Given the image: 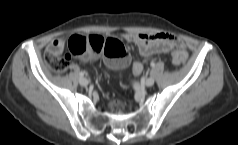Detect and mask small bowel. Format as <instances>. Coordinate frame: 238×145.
Returning a JSON list of instances; mask_svg holds the SVG:
<instances>
[{
    "label": "small bowel",
    "mask_w": 238,
    "mask_h": 145,
    "mask_svg": "<svg viewBox=\"0 0 238 145\" xmlns=\"http://www.w3.org/2000/svg\"><path fill=\"white\" fill-rule=\"evenodd\" d=\"M123 39L130 43H134L139 53L145 58L150 59L160 53H168L173 49H179L185 52L182 41L176 36L168 33L157 34H130L122 35ZM64 40L61 38L54 39L47 47L48 52L58 55L63 49ZM186 53V52H185ZM132 72L135 76L142 73L144 63L134 61L131 64Z\"/></svg>",
    "instance_id": "1"
}]
</instances>
